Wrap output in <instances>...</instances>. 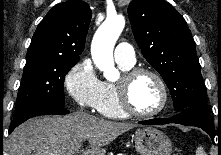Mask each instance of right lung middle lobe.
<instances>
[{
	"mask_svg": "<svg viewBox=\"0 0 221 155\" xmlns=\"http://www.w3.org/2000/svg\"><path fill=\"white\" fill-rule=\"evenodd\" d=\"M76 63L48 58L26 59L14 119L42 106H63L64 78Z\"/></svg>",
	"mask_w": 221,
	"mask_h": 155,
	"instance_id": "obj_1",
	"label": "right lung middle lobe"
}]
</instances>
